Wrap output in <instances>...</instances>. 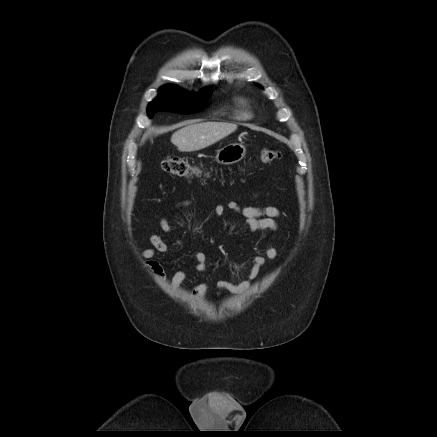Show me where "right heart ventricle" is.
Listing matches in <instances>:
<instances>
[{"label":"right heart ventricle","instance_id":"right-heart-ventricle-1","mask_svg":"<svg viewBox=\"0 0 437 437\" xmlns=\"http://www.w3.org/2000/svg\"><path fill=\"white\" fill-rule=\"evenodd\" d=\"M239 104L241 105V110H240L241 116L244 117V118L250 117L251 113H250V111L248 110V108L246 106V101L240 100Z\"/></svg>","mask_w":437,"mask_h":437}]
</instances>
